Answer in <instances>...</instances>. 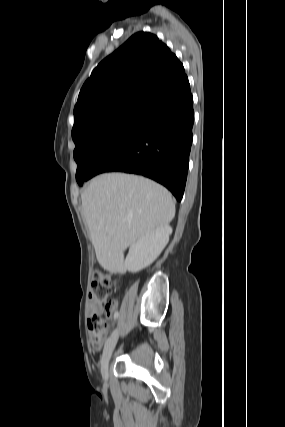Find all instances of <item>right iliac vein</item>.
Returning a JSON list of instances; mask_svg holds the SVG:
<instances>
[{
  "label": "right iliac vein",
  "instance_id": "right-iliac-vein-1",
  "mask_svg": "<svg viewBox=\"0 0 285 427\" xmlns=\"http://www.w3.org/2000/svg\"><path fill=\"white\" fill-rule=\"evenodd\" d=\"M119 338V330L115 329L109 337L101 358V374L104 378L108 377V366L112 352Z\"/></svg>",
  "mask_w": 285,
  "mask_h": 427
}]
</instances>
